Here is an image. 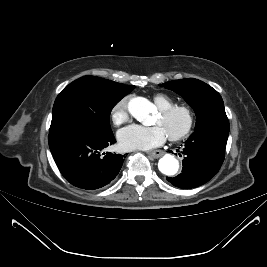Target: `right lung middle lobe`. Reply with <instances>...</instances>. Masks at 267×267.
<instances>
[{"mask_svg": "<svg viewBox=\"0 0 267 267\" xmlns=\"http://www.w3.org/2000/svg\"><path fill=\"white\" fill-rule=\"evenodd\" d=\"M134 88L95 76L73 81L55 100L49 133L71 127L112 133L110 112Z\"/></svg>", "mask_w": 267, "mask_h": 267, "instance_id": "dd1d6c3e", "label": "right lung middle lobe"}]
</instances>
